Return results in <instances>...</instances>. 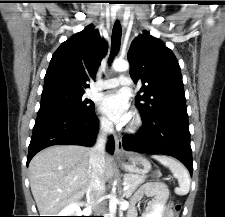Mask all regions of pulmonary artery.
Masks as SVG:
<instances>
[{"mask_svg":"<svg viewBox=\"0 0 225 217\" xmlns=\"http://www.w3.org/2000/svg\"><path fill=\"white\" fill-rule=\"evenodd\" d=\"M130 84H131V81L128 77L120 76L119 78H111V79H107V80L103 81L102 84L100 85V88L109 89V88L118 87L120 85L127 86Z\"/></svg>","mask_w":225,"mask_h":217,"instance_id":"pulmonary-artery-1","label":"pulmonary artery"}]
</instances>
